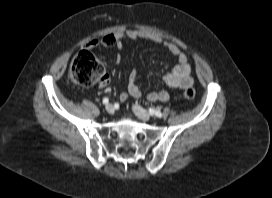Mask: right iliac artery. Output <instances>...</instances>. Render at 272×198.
Here are the masks:
<instances>
[{"label":"right iliac artery","mask_w":272,"mask_h":198,"mask_svg":"<svg viewBox=\"0 0 272 198\" xmlns=\"http://www.w3.org/2000/svg\"><path fill=\"white\" fill-rule=\"evenodd\" d=\"M108 102H109V99H108L107 97H105V98L103 99V104H108Z\"/></svg>","instance_id":"82829eb1"}]
</instances>
